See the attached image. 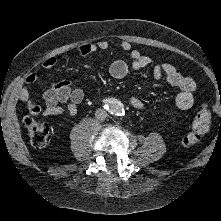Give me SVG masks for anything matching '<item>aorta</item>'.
<instances>
[{
    "mask_svg": "<svg viewBox=\"0 0 221 221\" xmlns=\"http://www.w3.org/2000/svg\"><path fill=\"white\" fill-rule=\"evenodd\" d=\"M109 109L113 114H116V115H119L122 113V108L118 104L110 105Z\"/></svg>",
    "mask_w": 221,
    "mask_h": 221,
    "instance_id": "762f6f07",
    "label": "aorta"
}]
</instances>
